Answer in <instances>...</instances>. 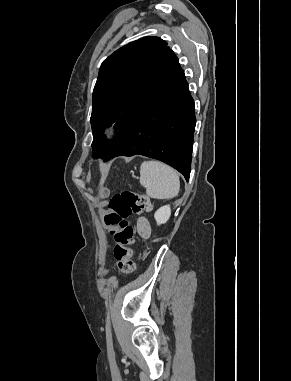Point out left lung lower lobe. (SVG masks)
I'll return each instance as SVG.
<instances>
[{"label":"left lung lower lobe","instance_id":"1","mask_svg":"<svg viewBox=\"0 0 291 381\" xmlns=\"http://www.w3.org/2000/svg\"><path fill=\"white\" fill-rule=\"evenodd\" d=\"M181 69L141 110L131 128L106 156L144 155L174 167L189 180L196 118Z\"/></svg>","mask_w":291,"mask_h":381}]
</instances>
